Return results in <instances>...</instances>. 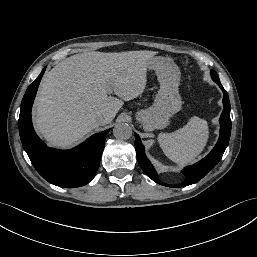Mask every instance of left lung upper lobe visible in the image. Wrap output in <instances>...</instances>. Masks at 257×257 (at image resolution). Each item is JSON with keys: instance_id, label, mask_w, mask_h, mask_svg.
<instances>
[{"instance_id": "obj_1", "label": "left lung upper lobe", "mask_w": 257, "mask_h": 257, "mask_svg": "<svg viewBox=\"0 0 257 257\" xmlns=\"http://www.w3.org/2000/svg\"><path fill=\"white\" fill-rule=\"evenodd\" d=\"M211 76H212V79H213L217 84L220 83L219 77H218L217 73H216L214 70L211 71Z\"/></svg>"}]
</instances>
